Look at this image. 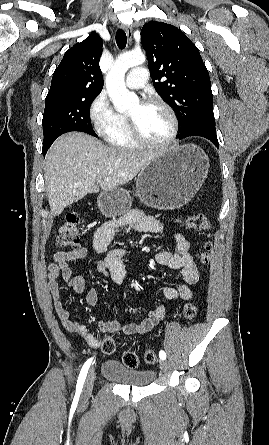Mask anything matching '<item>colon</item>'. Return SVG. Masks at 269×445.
<instances>
[{
	"instance_id": "1",
	"label": "colon",
	"mask_w": 269,
	"mask_h": 445,
	"mask_svg": "<svg viewBox=\"0 0 269 445\" xmlns=\"http://www.w3.org/2000/svg\"><path fill=\"white\" fill-rule=\"evenodd\" d=\"M80 222L81 214L79 212H70L65 216L57 236V244L60 248L72 249L75 251L80 248ZM186 227L194 231L208 233L211 229V223L205 214L198 213L190 215L186 219ZM211 247L212 243L209 240H205L201 243V250L199 252V260L201 263L206 264L208 262ZM196 313L197 308L192 303L186 304L183 308V316L187 321L192 320L196 316ZM101 348L106 354L114 353L116 350L114 338L105 336L102 340ZM144 361L147 364H154L157 361L155 351L151 349L147 350L144 353ZM122 362L129 368H136L139 364V357L135 352L127 351L122 356Z\"/></svg>"
}]
</instances>
